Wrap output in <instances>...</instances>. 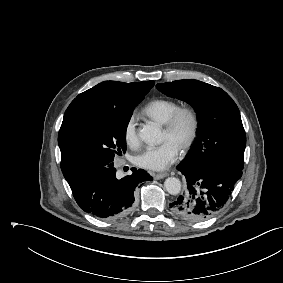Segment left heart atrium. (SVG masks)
Returning a JSON list of instances; mask_svg holds the SVG:
<instances>
[{
    "label": "left heart atrium",
    "instance_id": "39dd6f15",
    "mask_svg": "<svg viewBox=\"0 0 283 283\" xmlns=\"http://www.w3.org/2000/svg\"><path fill=\"white\" fill-rule=\"evenodd\" d=\"M180 153V148L171 141H165L159 146H148L140 151L134 162L145 169L161 171L174 163Z\"/></svg>",
    "mask_w": 283,
    "mask_h": 283
}]
</instances>
